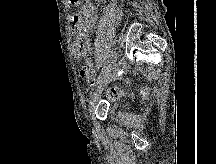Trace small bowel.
Returning <instances> with one entry per match:
<instances>
[{"instance_id":"obj_1","label":"small bowel","mask_w":216,"mask_h":164,"mask_svg":"<svg viewBox=\"0 0 216 164\" xmlns=\"http://www.w3.org/2000/svg\"><path fill=\"white\" fill-rule=\"evenodd\" d=\"M97 19L96 9L91 0H88L73 17V32L75 36L73 53L76 59L83 60L85 66L93 67V61L89 58L91 43L88 40Z\"/></svg>"}]
</instances>
